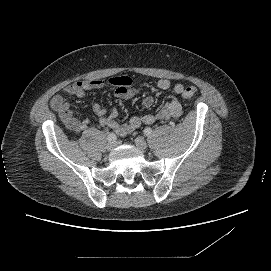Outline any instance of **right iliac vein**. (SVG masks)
<instances>
[{
    "label": "right iliac vein",
    "mask_w": 271,
    "mask_h": 271,
    "mask_svg": "<svg viewBox=\"0 0 271 271\" xmlns=\"http://www.w3.org/2000/svg\"><path fill=\"white\" fill-rule=\"evenodd\" d=\"M115 145H116L115 141H110L107 144V149L112 150L115 147Z\"/></svg>",
    "instance_id": "63e3f726"
}]
</instances>
